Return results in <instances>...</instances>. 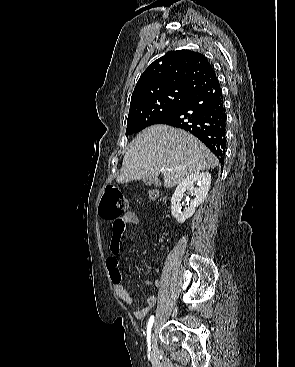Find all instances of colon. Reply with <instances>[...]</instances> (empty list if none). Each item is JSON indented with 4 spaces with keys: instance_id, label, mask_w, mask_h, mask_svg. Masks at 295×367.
<instances>
[{
    "instance_id": "1",
    "label": "colon",
    "mask_w": 295,
    "mask_h": 367,
    "mask_svg": "<svg viewBox=\"0 0 295 367\" xmlns=\"http://www.w3.org/2000/svg\"><path fill=\"white\" fill-rule=\"evenodd\" d=\"M152 198L158 197L157 191L150 193ZM127 208V200L115 185H108L103 193L101 202V215L111 221H119Z\"/></svg>"
}]
</instances>
